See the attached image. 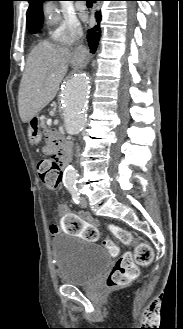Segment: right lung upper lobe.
<instances>
[{"instance_id": "obj_1", "label": "right lung upper lobe", "mask_w": 183, "mask_h": 329, "mask_svg": "<svg viewBox=\"0 0 183 329\" xmlns=\"http://www.w3.org/2000/svg\"><path fill=\"white\" fill-rule=\"evenodd\" d=\"M29 8L27 11V29L30 31L39 23H43L42 2L47 0H27Z\"/></svg>"}]
</instances>
